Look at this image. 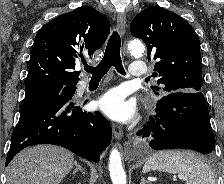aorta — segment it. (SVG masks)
Masks as SVG:
<instances>
[{
    "label": "aorta",
    "mask_w": 224,
    "mask_h": 184,
    "mask_svg": "<svg viewBox=\"0 0 224 184\" xmlns=\"http://www.w3.org/2000/svg\"><path fill=\"white\" fill-rule=\"evenodd\" d=\"M128 49L134 55L144 52V45L138 40H132L128 44ZM109 172L113 184H126V174L124 172L119 151L114 148L110 153Z\"/></svg>",
    "instance_id": "aorta-1"
}]
</instances>
